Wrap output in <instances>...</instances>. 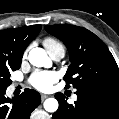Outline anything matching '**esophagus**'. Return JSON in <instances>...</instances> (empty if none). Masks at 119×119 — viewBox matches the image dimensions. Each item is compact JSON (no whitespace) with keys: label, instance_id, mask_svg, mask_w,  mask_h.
Masks as SVG:
<instances>
[{"label":"esophagus","instance_id":"obj_1","mask_svg":"<svg viewBox=\"0 0 119 119\" xmlns=\"http://www.w3.org/2000/svg\"><path fill=\"white\" fill-rule=\"evenodd\" d=\"M46 98H48V95H46V94H41V99H42V100H45Z\"/></svg>","mask_w":119,"mask_h":119}]
</instances>
